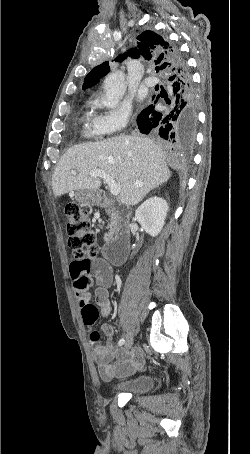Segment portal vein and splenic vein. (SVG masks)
<instances>
[{"label": "portal vein and splenic vein", "instance_id": "18ae733b", "mask_svg": "<svg viewBox=\"0 0 250 454\" xmlns=\"http://www.w3.org/2000/svg\"><path fill=\"white\" fill-rule=\"evenodd\" d=\"M75 174V173H74ZM90 177H100L103 181L109 186L111 195L118 196L120 193V186L115 182V180L106 172L100 169H94L89 173Z\"/></svg>", "mask_w": 250, "mask_h": 454}]
</instances>
